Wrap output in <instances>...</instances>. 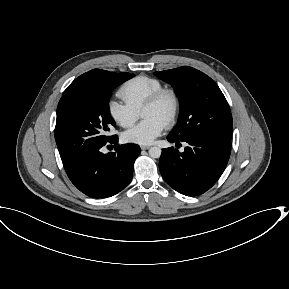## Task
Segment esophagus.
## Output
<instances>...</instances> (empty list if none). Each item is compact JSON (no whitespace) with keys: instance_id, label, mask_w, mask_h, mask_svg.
Listing matches in <instances>:
<instances>
[{"instance_id":"1","label":"esophagus","mask_w":289,"mask_h":289,"mask_svg":"<svg viewBox=\"0 0 289 289\" xmlns=\"http://www.w3.org/2000/svg\"><path fill=\"white\" fill-rule=\"evenodd\" d=\"M140 148H141L142 150H147V149H149V148H150V146H147V145H142Z\"/></svg>"}]
</instances>
